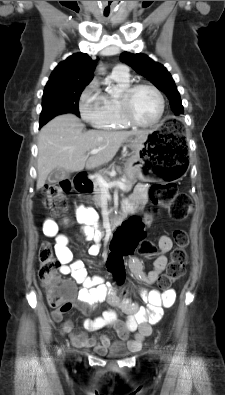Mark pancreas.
<instances>
[{
	"mask_svg": "<svg viewBox=\"0 0 225 395\" xmlns=\"http://www.w3.org/2000/svg\"><path fill=\"white\" fill-rule=\"evenodd\" d=\"M106 181H108L109 179L107 178V176L103 177ZM118 181L123 182L126 185V188L124 189V192H129L133 185L136 183V179L135 178H128L127 176H123L122 178L118 179ZM94 196L93 199L95 201V205L100 206L101 204V193H102V189L99 186L96 178L94 180V190H93Z\"/></svg>",
	"mask_w": 225,
	"mask_h": 395,
	"instance_id": "1",
	"label": "pancreas"
}]
</instances>
